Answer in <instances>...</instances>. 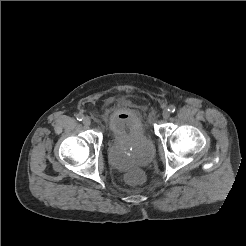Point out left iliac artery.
I'll use <instances>...</instances> for the list:
<instances>
[{
    "label": "left iliac artery",
    "instance_id": "44dca946",
    "mask_svg": "<svg viewBox=\"0 0 246 246\" xmlns=\"http://www.w3.org/2000/svg\"><path fill=\"white\" fill-rule=\"evenodd\" d=\"M175 110H176V107L174 105H170L168 107V111L171 112V113L175 112Z\"/></svg>",
    "mask_w": 246,
    "mask_h": 246
}]
</instances>
